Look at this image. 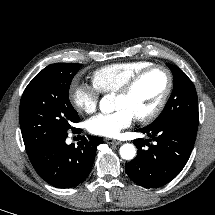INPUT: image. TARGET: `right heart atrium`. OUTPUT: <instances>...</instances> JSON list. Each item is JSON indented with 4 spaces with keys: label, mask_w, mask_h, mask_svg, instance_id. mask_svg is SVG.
Masks as SVG:
<instances>
[{
    "label": "right heart atrium",
    "mask_w": 215,
    "mask_h": 215,
    "mask_svg": "<svg viewBox=\"0 0 215 215\" xmlns=\"http://www.w3.org/2000/svg\"><path fill=\"white\" fill-rule=\"evenodd\" d=\"M100 91L94 84L75 81L69 91V98L74 108L83 113H93L99 102Z\"/></svg>",
    "instance_id": "right-heart-atrium-1"
}]
</instances>
